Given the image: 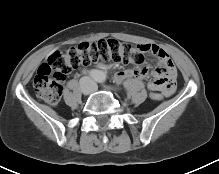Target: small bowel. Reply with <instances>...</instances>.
<instances>
[{
	"mask_svg": "<svg viewBox=\"0 0 219 174\" xmlns=\"http://www.w3.org/2000/svg\"><path fill=\"white\" fill-rule=\"evenodd\" d=\"M138 47L157 55L161 65V67L157 68L153 73L155 81L149 82V91L156 92L160 90L165 96H171L175 91L177 71L168 53L157 45L140 44ZM147 72L146 67L140 69H125L117 72L114 79L117 82L130 77L144 79L147 76Z\"/></svg>",
	"mask_w": 219,
	"mask_h": 174,
	"instance_id": "1",
	"label": "small bowel"
}]
</instances>
